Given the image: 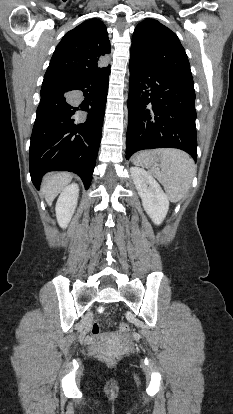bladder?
I'll return each mask as SVG.
<instances>
[{"label":"bladder","instance_id":"1","mask_svg":"<svg viewBox=\"0 0 233 414\" xmlns=\"http://www.w3.org/2000/svg\"><path fill=\"white\" fill-rule=\"evenodd\" d=\"M122 338L115 336L113 334H107L101 337L100 342L102 345H110L115 343L122 342Z\"/></svg>","mask_w":233,"mask_h":414}]
</instances>
